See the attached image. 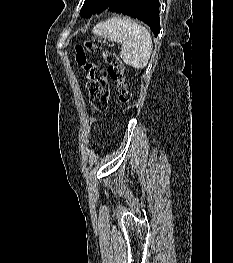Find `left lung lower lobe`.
<instances>
[{
	"label": "left lung lower lobe",
	"mask_w": 233,
	"mask_h": 263,
	"mask_svg": "<svg viewBox=\"0 0 233 263\" xmlns=\"http://www.w3.org/2000/svg\"><path fill=\"white\" fill-rule=\"evenodd\" d=\"M107 10L142 20L155 36L160 32L158 0H115Z\"/></svg>",
	"instance_id": "0a47b994"
}]
</instances>
